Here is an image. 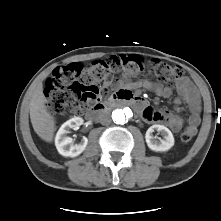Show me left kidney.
Instances as JSON below:
<instances>
[{"label":"left kidney","mask_w":221,"mask_h":221,"mask_svg":"<svg viewBox=\"0 0 221 221\" xmlns=\"http://www.w3.org/2000/svg\"><path fill=\"white\" fill-rule=\"evenodd\" d=\"M161 132L163 135V139H160L159 141L155 140L153 137L154 131ZM145 140L148 145V147L153 151H167L174 145V137L171 131L159 124L152 125L145 134Z\"/></svg>","instance_id":"1"}]
</instances>
